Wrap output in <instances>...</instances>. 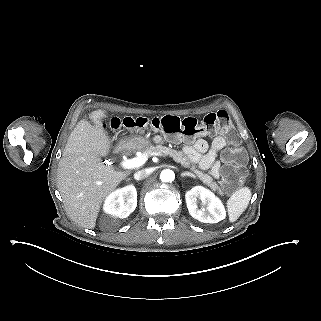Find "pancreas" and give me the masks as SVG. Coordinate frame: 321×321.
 I'll use <instances>...</instances> for the list:
<instances>
[{
	"label": "pancreas",
	"instance_id": "pancreas-1",
	"mask_svg": "<svg viewBox=\"0 0 321 321\" xmlns=\"http://www.w3.org/2000/svg\"><path fill=\"white\" fill-rule=\"evenodd\" d=\"M128 152L141 151L143 155L149 156L155 153H161L171 156L175 162L180 163L181 166L190 169L193 172L195 177L199 178L203 184L208 186L212 191H215L219 196H223V191L213 178L203 171L199 170L196 165L191 164L189 158L184 155L183 152L171 149L169 147H164L162 145H150L146 148H133L131 146L126 147L125 149Z\"/></svg>",
	"mask_w": 321,
	"mask_h": 321
}]
</instances>
